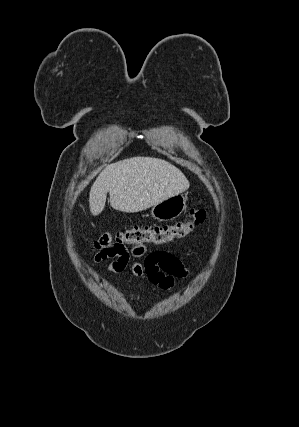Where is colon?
Returning <instances> with one entry per match:
<instances>
[{
    "mask_svg": "<svg viewBox=\"0 0 299 427\" xmlns=\"http://www.w3.org/2000/svg\"><path fill=\"white\" fill-rule=\"evenodd\" d=\"M206 217L205 208L196 204L185 221L166 225L135 226L107 232L93 243L97 259L114 257L127 251L128 246L163 245L188 236Z\"/></svg>",
    "mask_w": 299,
    "mask_h": 427,
    "instance_id": "1",
    "label": "colon"
}]
</instances>
